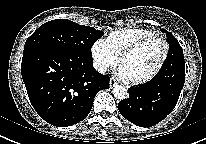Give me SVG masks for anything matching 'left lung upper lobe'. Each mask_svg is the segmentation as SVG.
<instances>
[{"label": "left lung upper lobe", "instance_id": "obj_1", "mask_svg": "<svg viewBox=\"0 0 206 144\" xmlns=\"http://www.w3.org/2000/svg\"><path fill=\"white\" fill-rule=\"evenodd\" d=\"M162 31L166 33V37L169 43V52L163 64V67L161 68L160 71L168 68L171 65L185 66L182 47L180 46L176 38L170 32H167L164 29H162Z\"/></svg>", "mask_w": 206, "mask_h": 144}]
</instances>
